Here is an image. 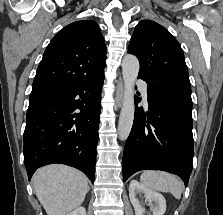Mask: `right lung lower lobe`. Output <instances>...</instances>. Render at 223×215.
Segmentation results:
<instances>
[{
    "instance_id": "98d812e1",
    "label": "right lung lower lobe",
    "mask_w": 223,
    "mask_h": 215,
    "mask_svg": "<svg viewBox=\"0 0 223 215\" xmlns=\"http://www.w3.org/2000/svg\"><path fill=\"white\" fill-rule=\"evenodd\" d=\"M103 72L67 92L29 104L24 131L29 180L37 168L61 163L83 171L94 182ZM76 109L81 112L73 113Z\"/></svg>"
}]
</instances>
